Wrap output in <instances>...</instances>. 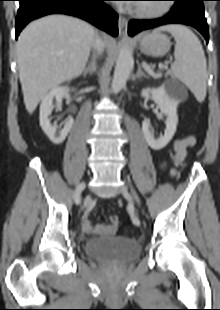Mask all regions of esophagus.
Masks as SVG:
<instances>
[{
  "label": "esophagus",
  "mask_w": 220,
  "mask_h": 310,
  "mask_svg": "<svg viewBox=\"0 0 220 310\" xmlns=\"http://www.w3.org/2000/svg\"><path fill=\"white\" fill-rule=\"evenodd\" d=\"M127 28H128V21L125 17L119 16L118 18V30L120 36H127Z\"/></svg>",
  "instance_id": "esophagus-1"
}]
</instances>
